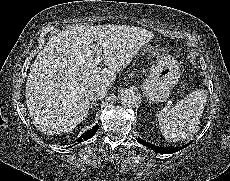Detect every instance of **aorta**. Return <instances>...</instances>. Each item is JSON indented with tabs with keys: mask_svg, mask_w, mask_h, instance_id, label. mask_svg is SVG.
<instances>
[{
	"mask_svg": "<svg viewBox=\"0 0 230 181\" xmlns=\"http://www.w3.org/2000/svg\"><path fill=\"white\" fill-rule=\"evenodd\" d=\"M120 102L125 107L136 108L140 105L141 100L135 92L126 90L121 94Z\"/></svg>",
	"mask_w": 230,
	"mask_h": 181,
	"instance_id": "aorta-1",
	"label": "aorta"
}]
</instances>
